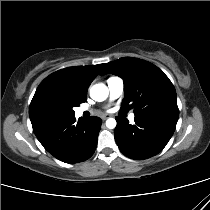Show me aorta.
<instances>
[{
    "mask_svg": "<svg viewBox=\"0 0 210 210\" xmlns=\"http://www.w3.org/2000/svg\"><path fill=\"white\" fill-rule=\"evenodd\" d=\"M109 90L106 85L103 83L95 84L90 89V97L97 101L102 102L107 99ZM117 125V122L114 118H109L106 121V127L109 129H114Z\"/></svg>",
    "mask_w": 210,
    "mask_h": 210,
    "instance_id": "762f6f07",
    "label": "aorta"
}]
</instances>
